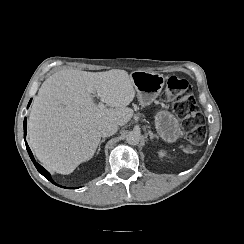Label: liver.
<instances>
[{
	"label": "liver",
	"mask_w": 244,
	"mask_h": 244,
	"mask_svg": "<svg viewBox=\"0 0 244 244\" xmlns=\"http://www.w3.org/2000/svg\"><path fill=\"white\" fill-rule=\"evenodd\" d=\"M88 88L110 108L96 105ZM134 96L125 70L65 69L49 76L34 97L28 120L29 143L36 157L56 173H72L93 157L101 126L108 122L123 126L130 121L133 110L127 106Z\"/></svg>",
	"instance_id": "6515ba94"
}]
</instances>
